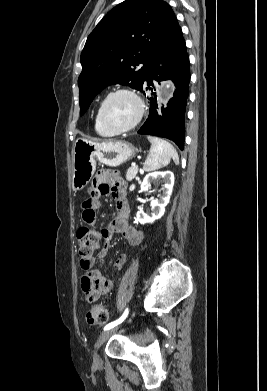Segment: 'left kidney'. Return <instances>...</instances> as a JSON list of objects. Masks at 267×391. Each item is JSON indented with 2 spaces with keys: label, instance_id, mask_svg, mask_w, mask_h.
<instances>
[{
  "label": "left kidney",
  "instance_id": "1",
  "mask_svg": "<svg viewBox=\"0 0 267 391\" xmlns=\"http://www.w3.org/2000/svg\"><path fill=\"white\" fill-rule=\"evenodd\" d=\"M159 179H163L164 184L161 188V196L151 202L152 216H148L142 210L138 211L136 214V219L141 224L153 223L155 220L160 219L165 213V207L169 203L174 185V174L171 171L147 174L141 183V190L144 192L148 191L151 182Z\"/></svg>",
  "mask_w": 267,
  "mask_h": 391
}]
</instances>
